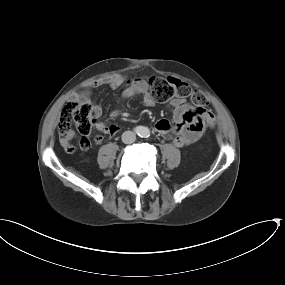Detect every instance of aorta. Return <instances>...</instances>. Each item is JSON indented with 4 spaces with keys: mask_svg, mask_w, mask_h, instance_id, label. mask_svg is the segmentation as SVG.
Here are the masks:
<instances>
[{
    "mask_svg": "<svg viewBox=\"0 0 285 285\" xmlns=\"http://www.w3.org/2000/svg\"><path fill=\"white\" fill-rule=\"evenodd\" d=\"M138 135L143 138H147L150 136V130L148 127L141 126L138 130Z\"/></svg>",
    "mask_w": 285,
    "mask_h": 285,
    "instance_id": "762f6f07",
    "label": "aorta"
}]
</instances>
